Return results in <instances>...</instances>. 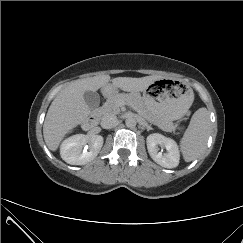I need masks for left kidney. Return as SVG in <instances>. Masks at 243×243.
<instances>
[{
  "mask_svg": "<svg viewBox=\"0 0 243 243\" xmlns=\"http://www.w3.org/2000/svg\"><path fill=\"white\" fill-rule=\"evenodd\" d=\"M147 149L151 158L160 166L165 168H175L179 164L180 153L177 143L159 133L150 134L147 139ZM157 145H162L167 152L162 154L158 152Z\"/></svg>",
  "mask_w": 243,
  "mask_h": 243,
  "instance_id": "left-kidney-1",
  "label": "left kidney"
}]
</instances>
